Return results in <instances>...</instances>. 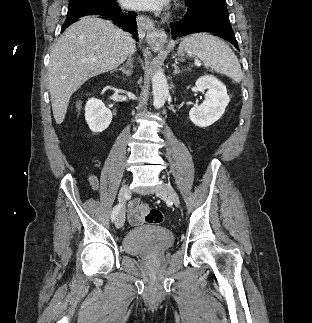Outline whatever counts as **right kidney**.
Here are the masks:
<instances>
[{
	"label": "right kidney",
	"instance_id": "ca27d5eb",
	"mask_svg": "<svg viewBox=\"0 0 312 323\" xmlns=\"http://www.w3.org/2000/svg\"><path fill=\"white\" fill-rule=\"evenodd\" d=\"M85 120L92 132H103L112 122V112L102 100L90 98L85 106Z\"/></svg>",
	"mask_w": 312,
	"mask_h": 323
}]
</instances>
